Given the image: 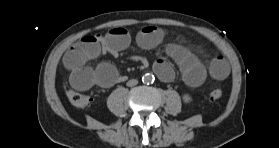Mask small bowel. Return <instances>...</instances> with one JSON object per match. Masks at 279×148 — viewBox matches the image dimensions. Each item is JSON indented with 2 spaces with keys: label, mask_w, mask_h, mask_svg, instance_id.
I'll return each mask as SVG.
<instances>
[{
  "label": "small bowel",
  "mask_w": 279,
  "mask_h": 148,
  "mask_svg": "<svg viewBox=\"0 0 279 148\" xmlns=\"http://www.w3.org/2000/svg\"><path fill=\"white\" fill-rule=\"evenodd\" d=\"M163 39L164 32L153 25L143 27L136 36L138 45L144 49L158 47ZM130 42L129 32L122 27L112 28L105 35L82 37L67 50L63 58L65 67L70 71L71 86L81 91L93 86L105 89L113 87L120 81V76L112 64L103 62L96 68L87 64L102 54L118 55ZM164 52L178 65L184 82L191 87L201 85L207 75L215 80H223L229 74V66L221 56L212 58L206 68L193 53L181 45L168 44ZM154 71L163 81L168 82L174 78L173 69L165 59H158L154 63Z\"/></svg>",
  "instance_id": "obj_1"
}]
</instances>
